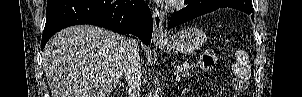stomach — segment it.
I'll return each mask as SVG.
<instances>
[{
	"label": "stomach",
	"mask_w": 302,
	"mask_h": 97,
	"mask_svg": "<svg viewBox=\"0 0 302 97\" xmlns=\"http://www.w3.org/2000/svg\"><path fill=\"white\" fill-rule=\"evenodd\" d=\"M206 42L205 33L194 27H188L169 37L164 43H157L165 52L188 54L200 49Z\"/></svg>",
	"instance_id": "stomach-1"
}]
</instances>
